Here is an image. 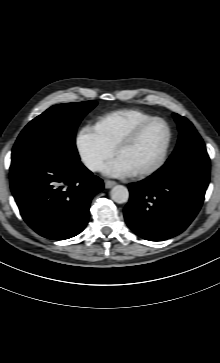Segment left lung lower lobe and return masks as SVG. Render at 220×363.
<instances>
[{
    "mask_svg": "<svg viewBox=\"0 0 220 363\" xmlns=\"http://www.w3.org/2000/svg\"><path fill=\"white\" fill-rule=\"evenodd\" d=\"M209 177L206 151L168 159L147 179L129 184L126 223L146 240L161 241L180 234L200 210Z\"/></svg>",
    "mask_w": 220,
    "mask_h": 363,
    "instance_id": "0a47b994",
    "label": "left lung lower lobe"
}]
</instances>
